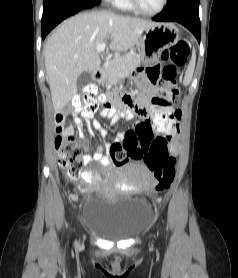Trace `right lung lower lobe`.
<instances>
[{
  "instance_id": "98d812e1",
  "label": "right lung lower lobe",
  "mask_w": 238,
  "mask_h": 278,
  "mask_svg": "<svg viewBox=\"0 0 238 278\" xmlns=\"http://www.w3.org/2000/svg\"><path fill=\"white\" fill-rule=\"evenodd\" d=\"M101 0H44L41 33L46 35L62 20L85 9L92 8Z\"/></svg>"
}]
</instances>
